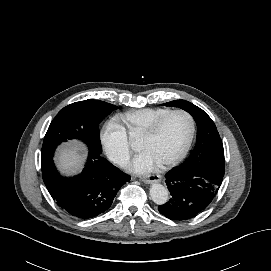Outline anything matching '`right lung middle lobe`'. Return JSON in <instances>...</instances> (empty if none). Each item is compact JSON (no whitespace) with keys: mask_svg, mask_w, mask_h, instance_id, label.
I'll list each match as a JSON object with an SVG mask.
<instances>
[{"mask_svg":"<svg viewBox=\"0 0 271 271\" xmlns=\"http://www.w3.org/2000/svg\"><path fill=\"white\" fill-rule=\"evenodd\" d=\"M115 109L117 106L99 100L75 102L64 107L48 128L41 158L53 156L57 145L72 138L84 141L89 150L101 153L99 123Z\"/></svg>","mask_w":271,"mask_h":271,"instance_id":"obj_1","label":"right lung middle lobe"}]
</instances>
